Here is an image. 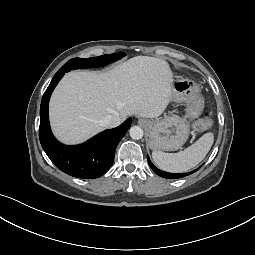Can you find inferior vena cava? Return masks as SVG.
<instances>
[{
    "label": "inferior vena cava",
    "instance_id": "inferior-vena-cava-1",
    "mask_svg": "<svg viewBox=\"0 0 255 255\" xmlns=\"http://www.w3.org/2000/svg\"><path fill=\"white\" fill-rule=\"evenodd\" d=\"M122 118L119 115H108L102 119V124L107 128H113L122 123Z\"/></svg>",
    "mask_w": 255,
    "mask_h": 255
}]
</instances>
